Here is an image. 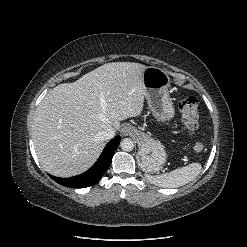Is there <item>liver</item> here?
<instances>
[{
	"label": "liver",
	"mask_w": 247,
	"mask_h": 247,
	"mask_svg": "<svg viewBox=\"0 0 247 247\" xmlns=\"http://www.w3.org/2000/svg\"><path fill=\"white\" fill-rule=\"evenodd\" d=\"M145 69L134 62L107 63L53 88L39 104L32 125L43 169L71 177L90 168L106 144L102 131L119 129L120 121L143 111Z\"/></svg>",
	"instance_id": "1"
}]
</instances>
